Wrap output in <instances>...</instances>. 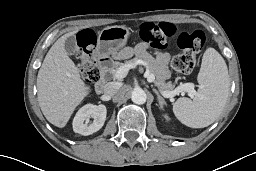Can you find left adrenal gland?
Returning <instances> with one entry per match:
<instances>
[{"label":"left adrenal gland","mask_w":256,"mask_h":171,"mask_svg":"<svg viewBox=\"0 0 256 171\" xmlns=\"http://www.w3.org/2000/svg\"><path fill=\"white\" fill-rule=\"evenodd\" d=\"M153 91L157 95V98H158L161 108H163V106L166 105L165 100L163 99V97L159 94V92L156 89L153 88Z\"/></svg>","instance_id":"a2214340"}]
</instances>
